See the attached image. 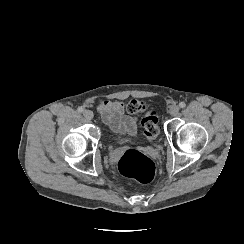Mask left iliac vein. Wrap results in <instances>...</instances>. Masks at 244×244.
<instances>
[{
	"instance_id": "4c4485c4",
	"label": "left iliac vein",
	"mask_w": 244,
	"mask_h": 244,
	"mask_svg": "<svg viewBox=\"0 0 244 244\" xmlns=\"http://www.w3.org/2000/svg\"><path fill=\"white\" fill-rule=\"evenodd\" d=\"M169 113H170L172 116H176V115L179 113V107L176 106V105H173V106L170 108Z\"/></svg>"
}]
</instances>
